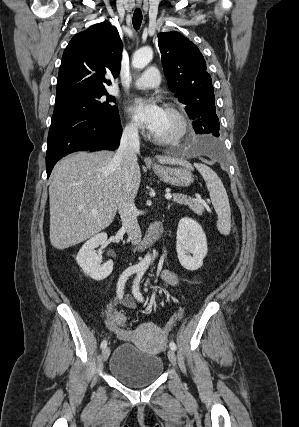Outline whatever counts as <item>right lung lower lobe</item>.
<instances>
[{"label": "right lung lower lobe", "mask_w": 299, "mask_h": 427, "mask_svg": "<svg viewBox=\"0 0 299 427\" xmlns=\"http://www.w3.org/2000/svg\"><path fill=\"white\" fill-rule=\"evenodd\" d=\"M121 134L120 121L75 116L51 123L46 152L47 177L56 162L71 152L116 149Z\"/></svg>", "instance_id": "right-lung-lower-lobe-1"}]
</instances>
